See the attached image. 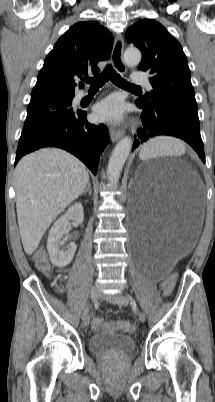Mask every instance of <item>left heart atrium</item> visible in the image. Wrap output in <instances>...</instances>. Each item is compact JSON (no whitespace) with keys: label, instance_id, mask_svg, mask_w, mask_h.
<instances>
[{"label":"left heart atrium","instance_id":"1","mask_svg":"<svg viewBox=\"0 0 215 402\" xmlns=\"http://www.w3.org/2000/svg\"><path fill=\"white\" fill-rule=\"evenodd\" d=\"M94 115L100 121L118 122L123 117L122 103L116 97H108L95 107Z\"/></svg>","mask_w":215,"mask_h":402}]
</instances>
